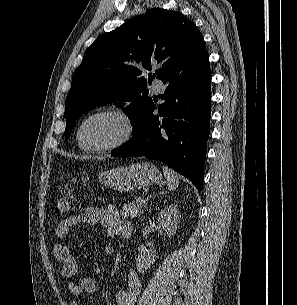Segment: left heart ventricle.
<instances>
[{
	"label": "left heart ventricle",
	"mask_w": 297,
	"mask_h": 305,
	"mask_svg": "<svg viewBox=\"0 0 297 305\" xmlns=\"http://www.w3.org/2000/svg\"><path fill=\"white\" fill-rule=\"evenodd\" d=\"M123 132L121 123L108 116L89 120L82 128V140L88 146L104 145L117 140Z\"/></svg>",
	"instance_id": "left-heart-ventricle-1"
}]
</instances>
